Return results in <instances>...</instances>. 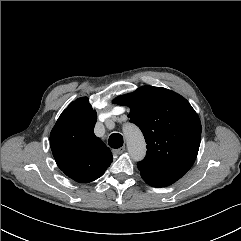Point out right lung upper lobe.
<instances>
[{
	"instance_id": "obj_1",
	"label": "right lung upper lobe",
	"mask_w": 241,
	"mask_h": 241,
	"mask_svg": "<svg viewBox=\"0 0 241 241\" xmlns=\"http://www.w3.org/2000/svg\"><path fill=\"white\" fill-rule=\"evenodd\" d=\"M97 114L82 97L62 112L50 134V145L58 167L79 183L96 180L110 166V149L95 136Z\"/></svg>"
}]
</instances>
